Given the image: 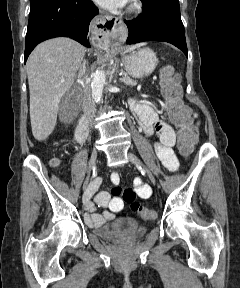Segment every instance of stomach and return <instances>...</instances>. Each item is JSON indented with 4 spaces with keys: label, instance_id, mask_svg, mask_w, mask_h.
I'll return each instance as SVG.
<instances>
[{
    "label": "stomach",
    "instance_id": "obj_1",
    "mask_svg": "<svg viewBox=\"0 0 240 288\" xmlns=\"http://www.w3.org/2000/svg\"><path fill=\"white\" fill-rule=\"evenodd\" d=\"M124 68L134 78L150 75L156 68L158 59L153 50L143 48L123 58Z\"/></svg>",
    "mask_w": 240,
    "mask_h": 288
}]
</instances>
